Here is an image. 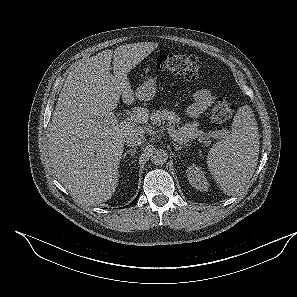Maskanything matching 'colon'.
<instances>
[{
  "mask_svg": "<svg viewBox=\"0 0 297 297\" xmlns=\"http://www.w3.org/2000/svg\"><path fill=\"white\" fill-rule=\"evenodd\" d=\"M156 65L164 70L186 79H198L201 75V62L196 56L180 53L163 54L158 57ZM234 111L233 104L226 98H220L215 103L211 112V121L214 125L227 122Z\"/></svg>",
  "mask_w": 297,
  "mask_h": 297,
  "instance_id": "5ec220e1",
  "label": "colon"
}]
</instances>
